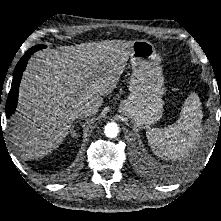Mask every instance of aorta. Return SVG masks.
I'll use <instances>...</instances> for the list:
<instances>
[{
	"label": "aorta",
	"mask_w": 221,
	"mask_h": 221,
	"mask_svg": "<svg viewBox=\"0 0 221 221\" xmlns=\"http://www.w3.org/2000/svg\"><path fill=\"white\" fill-rule=\"evenodd\" d=\"M104 133L108 138H115L119 133V127L116 123L110 122L105 126Z\"/></svg>",
	"instance_id": "obj_1"
}]
</instances>
